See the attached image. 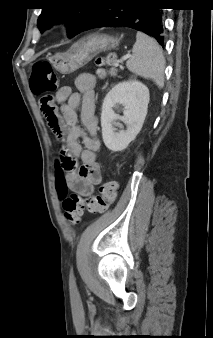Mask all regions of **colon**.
<instances>
[{"label": "colon", "instance_id": "colon-1", "mask_svg": "<svg viewBox=\"0 0 213 338\" xmlns=\"http://www.w3.org/2000/svg\"><path fill=\"white\" fill-rule=\"evenodd\" d=\"M114 60L115 53L111 51L97 59L96 64L99 67L98 75L100 77L114 72ZM29 83L32 92L38 96L52 93L59 88L58 77L47 62H37L34 64ZM41 111L46 117L56 139L59 142L62 141L64 132L59 125L55 107L49 97L41 100ZM60 154L64 157V161L62 162L64 170L69 171L76 166L75 162L69 158L66 149H61ZM62 185H64V181L59 179L58 189ZM117 189L118 185L116 182L108 181L100 186L96 194L87 198H81L75 194L65 196L63 198V209L67 222L72 226L79 224L84 211L92 214L105 213L109 205L116 199Z\"/></svg>", "mask_w": 213, "mask_h": 338}]
</instances>
